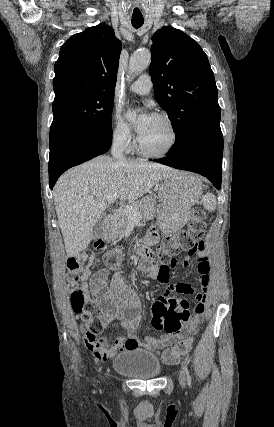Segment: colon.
<instances>
[{"label": "colon", "instance_id": "5ec220e1", "mask_svg": "<svg viewBox=\"0 0 274 427\" xmlns=\"http://www.w3.org/2000/svg\"><path fill=\"white\" fill-rule=\"evenodd\" d=\"M205 212L200 208H194L191 212L190 221L188 225L181 231L168 235L159 244L156 249V257L159 263L165 260H172L173 256L178 255L181 251L193 249L196 244L197 236H204ZM83 257L81 255L69 257L67 260V280L71 289V306L75 314L83 312L82 318L84 321L85 336L92 338L104 339L101 335L103 330V320L93 313V305L90 302H85L83 293L80 289L75 287L79 283V271L83 264ZM201 312V311H196ZM192 338L182 337L175 347H162V363L163 364H177L180 358L181 363L187 362V350L192 347Z\"/></svg>", "mask_w": 274, "mask_h": 427}]
</instances>
